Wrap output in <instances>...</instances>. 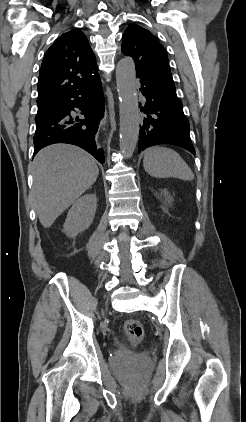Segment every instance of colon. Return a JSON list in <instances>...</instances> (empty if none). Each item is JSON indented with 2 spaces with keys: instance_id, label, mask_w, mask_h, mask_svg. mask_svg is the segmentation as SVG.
<instances>
[{
  "instance_id": "colon-1",
  "label": "colon",
  "mask_w": 246,
  "mask_h": 422,
  "mask_svg": "<svg viewBox=\"0 0 246 422\" xmlns=\"http://www.w3.org/2000/svg\"><path fill=\"white\" fill-rule=\"evenodd\" d=\"M124 333L128 340L134 345L140 344L144 339V328L140 321L127 319L123 326Z\"/></svg>"
}]
</instances>
